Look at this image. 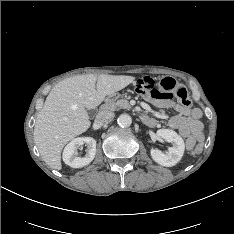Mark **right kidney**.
<instances>
[{"label":"right kidney","instance_id":"right-kidney-1","mask_svg":"<svg viewBox=\"0 0 234 234\" xmlns=\"http://www.w3.org/2000/svg\"><path fill=\"white\" fill-rule=\"evenodd\" d=\"M86 144L87 153L84 157L77 156V149ZM96 154V140L92 137H78L66 145L63 151V161L72 168L88 165Z\"/></svg>","mask_w":234,"mask_h":234}]
</instances>
